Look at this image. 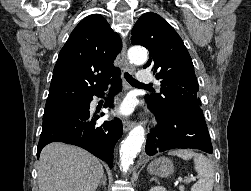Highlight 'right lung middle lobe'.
Listing matches in <instances>:
<instances>
[{
	"label": "right lung middle lobe",
	"mask_w": 251,
	"mask_h": 191,
	"mask_svg": "<svg viewBox=\"0 0 251 191\" xmlns=\"http://www.w3.org/2000/svg\"><path fill=\"white\" fill-rule=\"evenodd\" d=\"M85 108H86V102L83 101V102L73 103V104H69V105H65V106H61L57 108L45 109L43 119H46L48 117H51L60 113H64L67 111L85 109Z\"/></svg>",
	"instance_id": "dd1d6c3e"
}]
</instances>
